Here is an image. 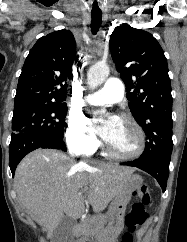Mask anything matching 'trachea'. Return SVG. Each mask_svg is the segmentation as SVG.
I'll use <instances>...</instances> for the list:
<instances>
[{
  "label": "trachea",
  "instance_id": "trachea-1",
  "mask_svg": "<svg viewBox=\"0 0 187 242\" xmlns=\"http://www.w3.org/2000/svg\"><path fill=\"white\" fill-rule=\"evenodd\" d=\"M92 21H91V32L95 35L102 23V12H92L91 13Z\"/></svg>",
  "mask_w": 187,
  "mask_h": 242
}]
</instances>
